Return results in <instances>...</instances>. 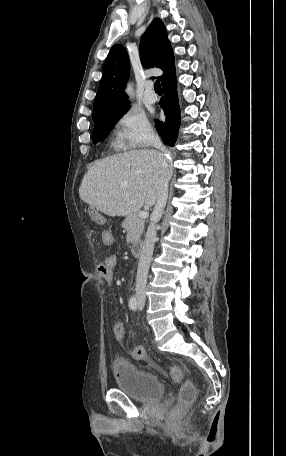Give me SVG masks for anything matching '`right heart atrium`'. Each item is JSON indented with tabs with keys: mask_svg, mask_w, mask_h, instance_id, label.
I'll return each mask as SVG.
<instances>
[{
	"mask_svg": "<svg viewBox=\"0 0 286 456\" xmlns=\"http://www.w3.org/2000/svg\"><path fill=\"white\" fill-rule=\"evenodd\" d=\"M155 134L147 117L132 108L124 110L115 122V140L121 148L143 147L154 140Z\"/></svg>",
	"mask_w": 286,
	"mask_h": 456,
	"instance_id": "right-heart-atrium-1",
	"label": "right heart atrium"
}]
</instances>
